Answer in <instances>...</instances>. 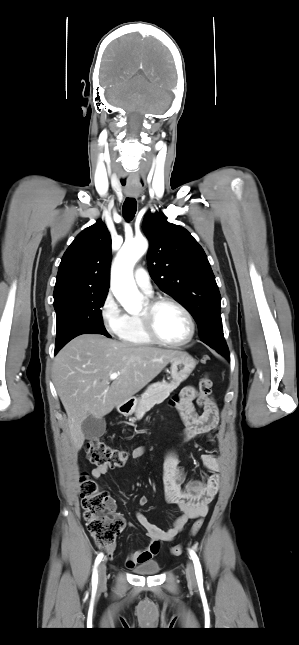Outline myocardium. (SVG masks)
Segmentation results:
<instances>
[{"label": "myocardium", "mask_w": 299, "mask_h": 645, "mask_svg": "<svg viewBox=\"0 0 299 645\" xmlns=\"http://www.w3.org/2000/svg\"><path fill=\"white\" fill-rule=\"evenodd\" d=\"M164 304H170L177 307L185 315L189 324V332L184 339L179 341H169L162 338L157 333L155 329V324H154V316L158 307ZM139 317L142 322L144 331L146 332L148 337L157 344H161L169 347H179L189 343L195 335L196 325H195L193 315L191 314V312L188 310L186 306H184L181 302L171 297L161 296V297H155L147 300L142 311L139 314Z\"/></svg>", "instance_id": "1"}]
</instances>
